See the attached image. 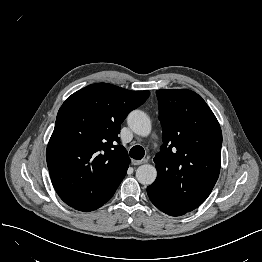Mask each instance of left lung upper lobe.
I'll list each match as a JSON object with an SVG mask.
<instances>
[{
	"label": "left lung upper lobe",
	"instance_id": "1",
	"mask_svg": "<svg viewBox=\"0 0 262 262\" xmlns=\"http://www.w3.org/2000/svg\"><path fill=\"white\" fill-rule=\"evenodd\" d=\"M163 145L150 185L173 207L189 212L211 193L220 172L222 132L206 102L187 89L156 91Z\"/></svg>",
	"mask_w": 262,
	"mask_h": 262
}]
</instances>
